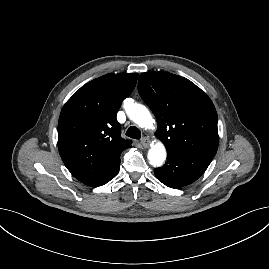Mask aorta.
<instances>
[{"label":"aorta","mask_w":269,"mask_h":269,"mask_svg":"<svg viewBox=\"0 0 269 269\" xmlns=\"http://www.w3.org/2000/svg\"><path fill=\"white\" fill-rule=\"evenodd\" d=\"M128 117L139 127L145 129L153 128L154 120L149 110L142 104L130 103L125 106ZM149 163L154 167H161L167 157L166 148L163 143L157 142L151 146L147 154Z\"/></svg>","instance_id":"aorta-1"}]
</instances>
